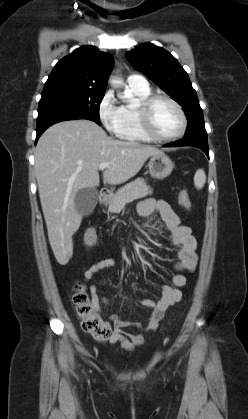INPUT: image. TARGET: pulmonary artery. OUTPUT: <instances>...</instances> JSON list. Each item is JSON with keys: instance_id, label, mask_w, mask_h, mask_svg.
<instances>
[{"instance_id": "pulmonary-artery-1", "label": "pulmonary artery", "mask_w": 248, "mask_h": 419, "mask_svg": "<svg viewBox=\"0 0 248 419\" xmlns=\"http://www.w3.org/2000/svg\"><path fill=\"white\" fill-rule=\"evenodd\" d=\"M127 85H128V87L136 88V89H146V88H148V83H147L146 79L143 76L137 75V74H133V75L128 76Z\"/></svg>"}]
</instances>
